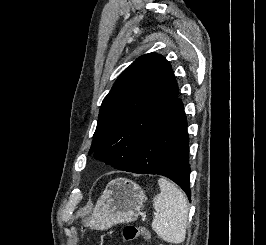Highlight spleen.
Wrapping results in <instances>:
<instances>
[{"mask_svg": "<svg viewBox=\"0 0 266 245\" xmlns=\"http://www.w3.org/2000/svg\"><path fill=\"white\" fill-rule=\"evenodd\" d=\"M158 185L160 195H156L153 199L156 215L151 227L158 237L166 243L180 245V243H184L186 237L188 223L187 199L167 179H159Z\"/></svg>", "mask_w": 266, "mask_h": 245, "instance_id": "3e777b00", "label": "spleen"}]
</instances>
